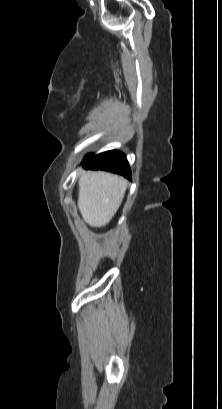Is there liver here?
<instances>
[{"label":"liver","instance_id":"1","mask_svg":"<svg viewBox=\"0 0 222 409\" xmlns=\"http://www.w3.org/2000/svg\"><path fill=\"white\" fill-rule=\"evenodd\" d=\"M128 182L107 172H84L79 180L78 208L91 227L106 226L119 209Z\"/></svg>","mask_w":222,"mask_h":409}]
</instances>
